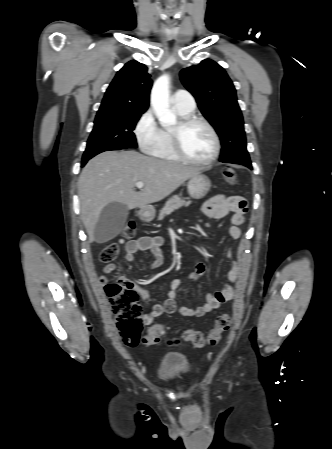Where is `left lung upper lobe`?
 <instances>
[{"instance_id": "left-lung-upper-lobe-1", "label": "left lung upper lobe", "mask_w": 332, "mask_h": 449, "mask_svg": "<svg viewBox=\"0 0 332 449\" xmlns=\"http://www.w3.org/2000/svg\"><path fill=\"white\" fill-rule=\"evenodd\" d=\"M183 85L195 97L204 117L220 137V161L251 166L236 90L224 68L206 59L181 70Z\"/></svg>"}]
</instances>
